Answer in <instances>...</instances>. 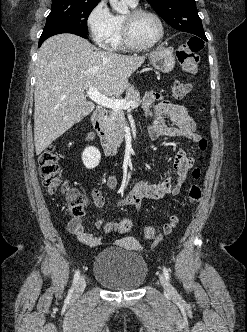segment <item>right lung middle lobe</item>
<instances>
[{
	"mask_svg": "<svg viewBox=\"0 0 247 332\" xmlns=\"http://www.w3.org/2000/svg\"><path fill=\"white\" fill-rule=\"evenodd\" d=\"M99 2L100 0H53L46 25L68 24L88 33V16Z\"/></svg>",
	"mask_w": 247,
	"mask_h": 332,
	"instance_id": "right-lung-middle-lobe-1",
	"label": "right lung middle lobe"
}]
</instances>
